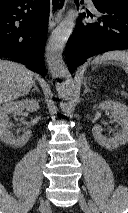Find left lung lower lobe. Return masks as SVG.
<instances>
[{"instance_id": "0a47b994", "label": "left lung lower lobe", "mask_w": 128, "mask_h": 213, "mask_svg": "<svg viewBox=\"0 0 128 213\" xmlns=\"http://www.w3.org/2000/svg\"><path fill=\"white\" fill-rule=\"evenodd\" d=\"M78 1V0H76ZM99 16L92 22L77 21L66 45L69 71L99 53L128 49V0H92ZM86 13L81 15L85 17Z\"/></svg>"}]
</instances>
